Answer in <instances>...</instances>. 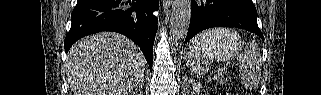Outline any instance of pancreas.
<instances>
[{
	"label": "pancreas",
	"instance_id": "1",
	"mask_svg": "<svg viewBox=\"0 0 321 95\" xmlns=\"http://www.w3.org/2000/svg\"><path fill=\"white\" fill-rule=\"evenodd\" d=\"M193 88L201 89V86L199 84H193Z\"/></svg>",
	"mask_w": 321,
	"mask_h": 95
}]
</instances>
